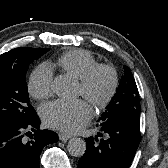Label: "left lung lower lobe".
<instances>
[{"mask_svg": "<svg viewBox=\"0 0 168 168\" xmlns=\"http://www.w3.org/2000/svg\"><path fill=\"white\" fill-rule=\"evenodd\" d=\"M100 128L102 133L85 139L86 152L78 167L129 168L140 143V116L111 115L100 120Z\"/></svg>", "mask_w": 168, "mask_h": 168, "instance_id": "left-lung-lower-lobe-1", "label": "left lung lower lobe"}]
</instances>
